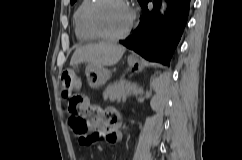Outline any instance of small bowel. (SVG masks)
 Wrapping results in <instances>:
<instances>
[{"label":"small bowel","mask_w":242,"mask_h":160,"mask_svg":"<svg viewBox=\"0 0 242 160\" xmlns=\"http://www.w3.org/2000/svg\"><path fill=\"white\" fill-rule=\"evenodd\" d=\"M70 126L73 130L71 119H70ZM94 130L99 131L101 133V137L99 139L104 138L110 144H117L122 142V133L120 131V120L116 115H112V114L108 115L107 120L105 122H96ZM99 139H97L95 143Z\"/></svg>","instance_id":"small-bowel-1"}]
</instances>
